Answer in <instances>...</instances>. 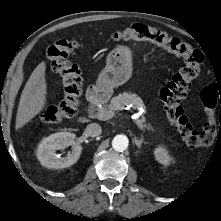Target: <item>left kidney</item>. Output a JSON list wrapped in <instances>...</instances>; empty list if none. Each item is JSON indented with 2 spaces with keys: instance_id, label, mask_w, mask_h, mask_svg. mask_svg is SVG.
<instances>
[{
  "instance_id": "5707ae66",
  "label": "left kidney",
  "mask_w": 221,
  "mask_h": 221,
  "mask_svg": "<svg viewBox=\"0 0 221 221\" xmlns=\"http://www.w3.org/2000/svg\"><path fill=\"white\" fill-rule=\"evenodd\" d=\"M154 156L159 163L165 166H168L173 161V158L164 146L156 147L154 149Z\"/></svg>"
}]
</instances>
